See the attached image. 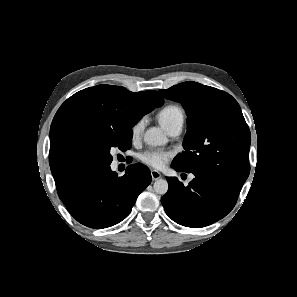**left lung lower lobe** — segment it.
Segmentation results:
<instances>
[{"label": "left lung lower lobe", "mask_w": 297, "mask_h": 297, "mask_svg": "<svg viewBox=\"0 0 297 297\" xmlns=\"http://www.w3.org/2000/svg\"><path fill=\"white\" fill-rule=\"evenodd\" d=\"M171 166L184 172L173 164ZM194 176L187 186L176 177H168L169 189L161 198V203L176 223L201 228L225 217L235 206L239 191L217 179Z\"/></svg>", "instance_id": "left-lung-lower-lobe-1"}]
</instances>
